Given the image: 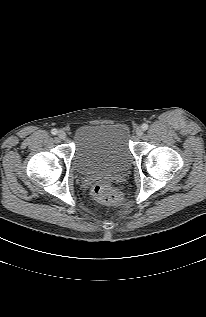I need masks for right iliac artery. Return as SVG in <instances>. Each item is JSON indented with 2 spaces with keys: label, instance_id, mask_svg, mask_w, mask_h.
Instances as JSON below:
<instances>
[{
  "label": "right iliac artery",
  "instance_id": "1",
  "mask_svg": "<svg viewBox=\"0 0 206 317\" xmlns=\"http://www.w3.org/2000/svg\"><path fill=\"white\" fill-rule=\"evenodd\" d=\"M51 133H52L53 135H56V134L58 133V131H57V129H52V130H51Z\"/></svg>",
  "mask_w": 206,
  "mask_h": 317
}]
</instances>
